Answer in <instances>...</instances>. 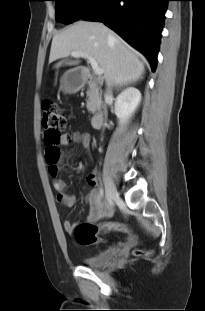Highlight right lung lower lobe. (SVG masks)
Here are the masks:
<instances>
[{
  "label": "right lung lower lobe",
  "mask_w": 205,
  "mask_h": 311,
  "mask_svg": "<svg viewBox=\"0 0 205 311\" xmlns=\"http://www.w3.org/2000/svg\"><path fill=\"white\" fill-rule=\"evenodd\" d=\"M169 0H102L81 20L103 22L143 53L155 71Z\"/></svg>",
  "instance_id": "98d812e1"
}]
</instances>
